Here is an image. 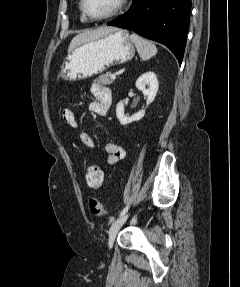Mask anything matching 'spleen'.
<instances>
[{"label":"spleen","instance_id":"3e777b00","mask_svg":"<svg viewBox=\"0 0 240 287\" xmlns=\"http://www.w3.org/2000/svg\"><path fill=\"white\" fill-rule=\"evenodd\" d=\"M130 39L136 46L140 58L143 61H146L156 55L157 47L151 41H148L137 34H131Z\"/></svg>","mask_w":240,"mask_h":287}]
</instances>
